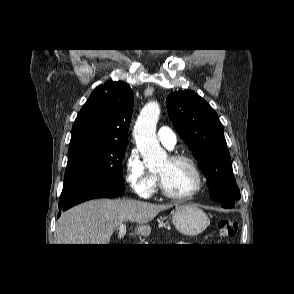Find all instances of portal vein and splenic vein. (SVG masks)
I'll return each mask as SVG.
<instances>
[{"mask_svg":"<svg viewBox=\"0 0 294 294\" xmlns=\"http://www.w3.org/2000/svg\"><path fill=\"white\" fill-rule=\"evenodd\" d=\"M126 234V226L124 224H121L119 226V233H118V237H124V235Z\"/></svg>","mask_w":294,"mask_h":294,"instance_id":"18ae733b","label":"portal vein and splenic vein"}]
</instances>
